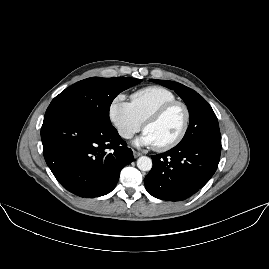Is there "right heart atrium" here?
<instances>
[{
    "label": "right heart atrium",
    "mask_w": 269,
    "mask_h": 269,
    "mask_svg": "<svg viewBox=\"0 0 269 269\" xmlns=\"http://www.w3.org/2000/svg\"><path fill=\"white\" fill-rule=\"evenodd\" d=\"M108 115L118 134L124 139L131 138L142 129L143 123L137 118L131 103L123 94L115 96L111 101Z\"/></svg>",
    "instance_id": "obj_1"
}]
</instances>
